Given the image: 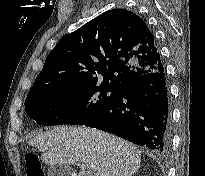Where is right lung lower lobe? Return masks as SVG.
I'll use <instances>...</instances> for the list:
<instances>
[{"mask_svg": "<svg viewBox=\"0 0 205 176\" xmlns=\"http://www.w3.org/2000/svg\"><path fill=\"white\" fill-rule=\"evenodd\" d=\"M97 128L158 153L171 146V115L164 66L122 85L91 122Z\"/></svg>", "mask_w": 205, "mask_h": 176, "instance_id": "obj_1", "label": "right lung lower lobe"}]
</instances>
